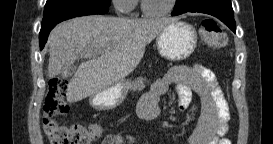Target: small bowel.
<instances>
[{"label":"small bowel","mask_w":273,"mask_h":144,"mask_svg":"<svg viewBox=\"0 0 273 144\" xmlns=\"http://www.w3.org/2000/svg\"><path fill=\"white\" fill-rule=\"evenodd\" d=\"M171 84L178 85V105L185 109L191 99V91L199 94L201 114L197 127L186 142L188 144H222L230 119L229 108L214 72L203 66H176L155 80L151 89L141 98L137 112L140 118L152 120L159 114V100ZM103 144H123L121 135H110Z\"/></svg>","instance_id":"c3829d8e"}]
</instances>
